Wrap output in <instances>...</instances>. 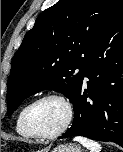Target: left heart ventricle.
<instances>
[{
  "label": "left heart ventricle",
  "mask_w": 123,
  "mask_h": 152,
  "mask_svg": "<svg viewBox=\"0 0 123 152\" xmlns=\"http://www.w3.org/2000/svg\"><path fill=\"white\" fill-rule=\"evenodd\" d=\"M67 111L62 102L49 99L40 102L32 110L30 121L39 133L57 131L65 122Z\"/></svg>",
  "instance_id": "obj_1"
}]
</instances>
